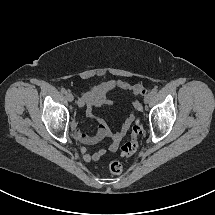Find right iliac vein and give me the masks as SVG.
Wrapping results in <instances>:
<instances>
[{
    "label": "right iliac vein",
    "instance_id": "63e3f726",
    "mask_svg": "<svg viewBox=\"0 0 215 215\" xmlns=\"http://www.w3.org/2000/svg\"><path fill=\"white\" fill-rule=\"evenodd\" d=\"M66 97L70 102H72L74 100V97L71 93H66Z\"/></svg>",
    "mask_w": 215,
    "mask_h": 215
}]
</instances>
